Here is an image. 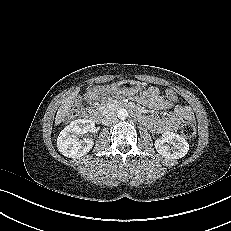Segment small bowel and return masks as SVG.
<instances>
[{
	"label": "small bowel",
	"instance_id": "small-bowel-1",
	"mask_svg": "<svg viewBox=\"0 0 231 231\" xmlns=\"http://www.w3.org/2000/svg\"><path fill=\"white\" fill-rule=\"evenodd\" d=\"M138 101L151 109L171 110V114L166 117H143V123L154 133H165L174 131L182 121H193L192 110L185 105L174 104L161 96L156 87H151L143 92Z\"/></svg>",
	"mask_w": 231,
	"mask_h": 231
}]
</instances>
